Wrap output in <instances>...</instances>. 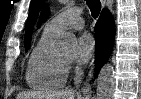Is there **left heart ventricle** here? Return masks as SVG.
<instances>
[{
    "label": "left heart ventricle",
    "instance_id": "left-heart-ventricle-1",
    "mask_svg": "<svg viewBox=\"0 0 141 99\" xmlns=\"http://www.w3.org/2000/svg\"><path fill=\"white\" fill-rule=\"evenodd\" d=\"M61 59L68 61L70 58L68 56H63Z\"/></svg>",
    "mask_w": 141,
    "mask_h": 99
}]
</instances>
